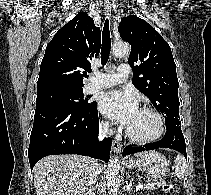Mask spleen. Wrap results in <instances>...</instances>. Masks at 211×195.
Instances as JSON below:
<instances>
[{
    "instance_id": "obj_1",
    "label": "spleen",
    "mask_w": 211,
    "mask_h": 195,
    "mask_svg": "<svg viewBox=\"0 0 211 195\" xmlns=\"http://www.w3.org/2000/svg\"><path fill=\"white\" fill-rule=\"evenodd\" d=\"M174 162L176 164L175 175L178 178H183L184 174L186 172V161H185V158L182 155H177V157L175 158Z\"/></svg>"
}]
</instances>
